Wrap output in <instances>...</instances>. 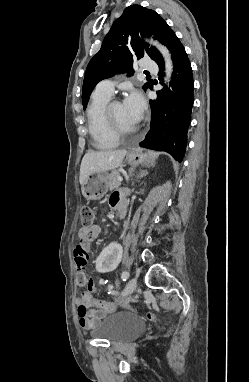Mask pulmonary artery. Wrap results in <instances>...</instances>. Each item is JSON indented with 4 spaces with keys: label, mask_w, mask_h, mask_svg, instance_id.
<instances>
[{
    "label": "pulmonary artery",
    "mask_w": 249,
    "mask_h": 382,
    "mask_svg": "<svg viewBox=\"0 0 249 382\" xmlns=\"http://www.w3.org/2000/svg\"><path fill=\"white\" fill-rule=\"evenodd\" d=\"M142 68L150 71L157 70L156 64L147 59L143 60ZM96 91L112 96L114 91V82L110 79L103 80L100 83H98Z\"/></svg>",
    "instance_id": "1"
}]
</instances>
